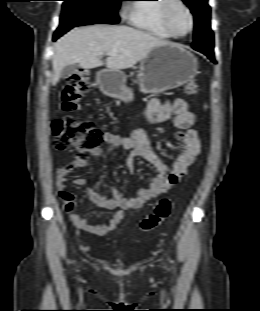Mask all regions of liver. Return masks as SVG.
Here are the masks:
<instances>
[{
	"label": "liver",
	"instance_id": "liver-1",
	"mask_svg": "<svg viewBox=\"0 0 260 311\" xmlns=\"http://www.w3.org/2000/svg\"><path fill=\"white\" fill-rule=\"evenodd\" d=\"M164 44L168 42L128 26L94 25L75 28L55 44L52 82L56 85L62 69L68 65L79 64L84 69L101 67V54H116L108 55V69L130 68L146 57L151 49Z\"/></svg>",
	"mask_w": 260,
	"mask_h": 311
}]
</instances>
